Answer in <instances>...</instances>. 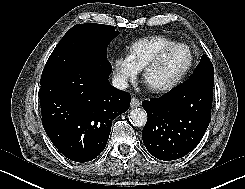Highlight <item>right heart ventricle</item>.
I'll list each match as a JSON object with an SVG mask.
<instances>
[{"label": "right heart ventricle", "instance_id": "1", "mask_svg": "<svg viewBox=\"0 0 245 189\" xmlns=\"http://www.w3.org/2000/svg\"><path fill=\"white\" fill-rule=\"evenodd\" d=\"M176 43L165 35H153L140 38L131 42L126 47L127 58L139 71L161 50L163 47Z\"/></svg>", "mask_w": 245, "mask_h": 189}]
</instances>
